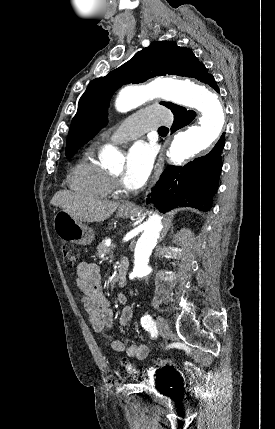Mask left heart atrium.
<instances>
[{
    "label": "left heart atrium",
    "mask_w": 275,
    "mask_h": 429,
    "mask_svg": "<svg viewBox=\"0 0 275 429\" xmlns=\"http://www.w3.org/2000/svg\"><path fill=\"white\" fill-rule=\"evenodd\" d=\"M154 160L152 145L144 141L134 143L127 154L122 182L128 189H138L146 181Z\"/></svg>",
    "instance_id": "39dd6f15"
}]
</instances>
